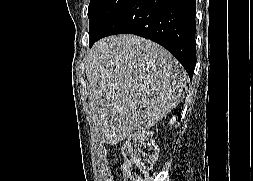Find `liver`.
Returning <instances> with one entry per match:
<instances>
[{"instance_id":"liver-1","label":"liver","mask_w":253,"mask_h":181,"mask_svg":"<svg viewBox=\"0 0 253 181\" xmlns=\"http://www.w3.org/2000/svg\"><path fill=\"white\" fill-rule=\"evenodd\" d=\"M85 71L92 123L109 144L162 120L179 104L188 82L166 49L130 34L98 41L87 52Z\"/></svg>"}]
</instances>
